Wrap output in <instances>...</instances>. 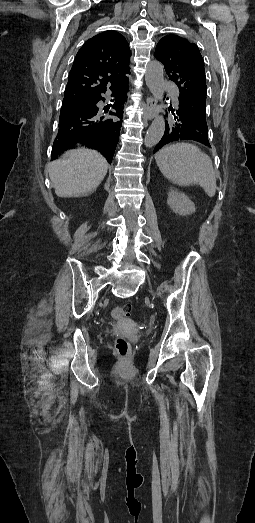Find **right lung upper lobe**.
<instances>
[{
  "mask_svg": "<svg viewBox=\"0 0 255 523\" xmlns=\"http://www.w3.org/2000/svg\"><path fill=\"white\" fill-rule=\"evenodd\" d=\"M131 51L126 39L115 31L100 33L87 40L78 51L68 77L65 96L60 113L59 132L53 143L51 157L71 149L76 142L99 150L112 162L118 143L123 117V101L128 90L129 60ZM111 90L115 102L107 104L102 97ZM97 103L100 119L94 141H83V120L79 118V107Z\"/></svg>",
  "mask_w": 255,
  "mask_h": 523,
  "instance_id": "obj_1",
  "label": "right lung upper lobe"
}]
</instances>
